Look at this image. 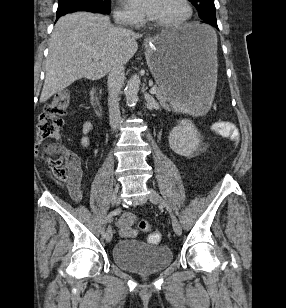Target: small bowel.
Instances as JSON below:
<instances>
[{
	"instance_id": "1",
	"label": "small bowel",
	"mask_w": 286,
	"mask_h": 308,
	"mask_svg": "<svg viewBox=\"0 0 286 308\" xmlns=\"http://www.w3.org/2000/svg\"><path fill=\"white\" fill-rule=\"evenodd\" d=\"M225 123V122H223ZM231 126V131L229 133V137L232 140H238L239 138V133L238 130L232 125ZM92 130V126L90 123L86 122L84 123L82 127V137L80 139V143L83 148H88L90 145V138H89V133ZM70 163L73 168V175L71 179L69 180L68 184L66 185V189L70 195V197L78 202L82 200V193H81V174L79 171V162L75 157L70 158ZM136 217L132 213H123L116 221V226L119 229L121 235L123 237L131 238L135 236V228H134V223H135Z\"/></svg>"
}]
</instances>
